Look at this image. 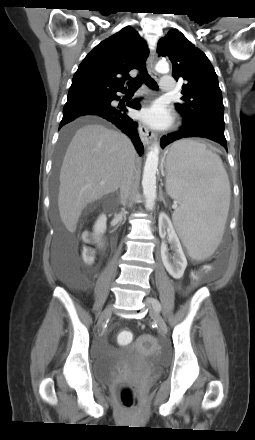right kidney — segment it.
<instances>
[{
    "mask_svg": "<svg viewBox=\"0 0 255 440\" xmlns=\"http://www.w3.org/2000/svg\"><path fill=\"white\" fill-rule=\"evenodd\" d=\"M106 222H107V218L104 214L100 215L99 218L97 219L95 226H94V232L95 235L98 237L97 241H98V246L102 247L103 243L101 242V236L105 233L106 231Z\"/></svg>",
    "mask_w": 255,
    "mask_h": 440,
    "instance_id": "1",
    "label": "right kidney"
}]
</instances>
